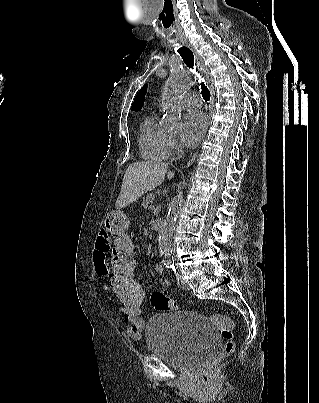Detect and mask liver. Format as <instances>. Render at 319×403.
<instances>
[{
	"instance_id": "1",
	"label": "liver",
	"mask_w": 319,
	"mask_h": 403,
	"mask_svg": "<svg viewBox=\"0 0 319 403\" xmlns=\"http://www.w3.org/2000/svg\"><path fill=\"white\" fill-rule=\"evenodd\" d=\"M168 164L153 161L132 163L126 170L122 187L116 201V209L124 208L135 202L143 194L159 186L167 173ZM174 172L169 171L167 178L172 179Z\"/></svg>"
}]
</instances>
